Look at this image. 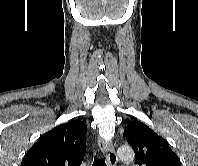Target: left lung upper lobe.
Returning a JSON list of instances; mask_svg holds the SVG:
<instances>
[{
  "label": "left lung upper lobe",
  "instance_id": "5c2ea615",
  "mask_svg": "<svg viewBox=\"0 0 198 166\" xmlns=\"http://www.w3.org/2000/svg\"><path fill=\"white\" fill-rule=\"evenodd\" d=\"M124 137L135 152L138 166H181L180 159L168 142L144 123H129Z\"/></svg>",
  "mask_w": 198,
  "mask_h": 166
}]
</instances>
